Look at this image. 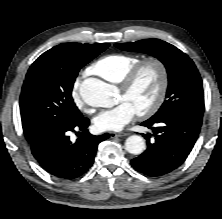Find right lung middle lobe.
<instances>
[{
    "label": "right lung middle lobe",
    "instance_id": "right-lung-middle-lobe-1",
    "mask_svg": "<svg viewBox=\"0 0 222 219\" xmlns=\"http://www.w3.org/2000/svg\"><path fill=\"white\" fill-rule=\"evenodd\" d=\"M108 46L63 43L31 65L20 96L22 127L28 142L82 116L72 98L74 81L79 70Z\"/></svg>",
    "mask_w": 222,
    "mask_h": 219
}]
</instances>
